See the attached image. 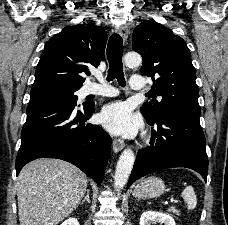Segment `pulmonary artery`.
Wrapping results in <instances>:
<instances>
[{"instance_id":"e3ab8cb5","label":"pulmonary artery","mask_w":228,"mask_h":225,"mask_svg":"<svg viewBox=\"0 0 228 225\" xmlns=\"http://www.w3.org/2000/svg\"><path fill=\"white\" fill-rule=\"evenodd\" d=\"M144 78L143 75H131V80H143ZM145 85V81H132V90H144ZM84 93L86 95L114 97L118 95L119 91L106 82L100 81V83L88 82L84 87Z\"/></svg>"}]
</instances>
